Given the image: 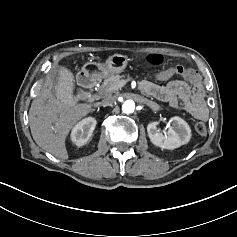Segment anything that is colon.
I'll return each instance as SVG.
<instances>
[{"instance_id":"1","label":"colon","mask_w":237,"mask_h":237,"mask_svg":"<svg viewBox=\"0 0 237 237\" xmlns=\"http://www.w3.org/2000/svg\"><path fill=\"white\" fill-rule=\"evenodd\" d=\"M146 61L151 65L158 66L164 63V58L161 55L152 54L147 56ZM175 73L183 77L185 80H191L195 75L191 69L183 66L176 67ZM195 130L198 134L205 135L207 133V125L204 122H197Z\"/></svg>"}]
</instances>
